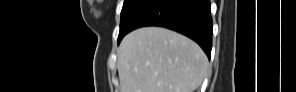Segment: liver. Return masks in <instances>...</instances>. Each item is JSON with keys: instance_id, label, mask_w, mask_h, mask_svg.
<instances>
[{"instance_id": "1", "label": "liver", "mask_w": 296, "mask_h": 92, "mask_svg": "<svg viewBox=\"0 0 296 92\" xmlns=\"http://www.w3.org/2000/svg\"><path fill=\"white\" fill-rule=\"evenodd\" d=\"M117 56L121 92H194L209 67L197 43L161 27L130 32Z\"/></svg>"}]
</instances>
